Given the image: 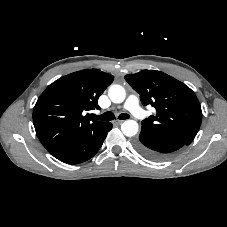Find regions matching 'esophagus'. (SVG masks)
<instances>
[{"mask_svg":"<svg viewBox=\"0 0 227 227\" xmlns=\"http://www.w3.org/2000/svg\"><path fill=\"white\" fill-rule=\"evenodd\" d=\"M123 122H124L123 120H115V121H114L115 124H121V123H123Z\"/></svg>","mask_w":227,"mask_h":227,"instance_id":"34e87169","label":"esophagus"}]
</instances>
